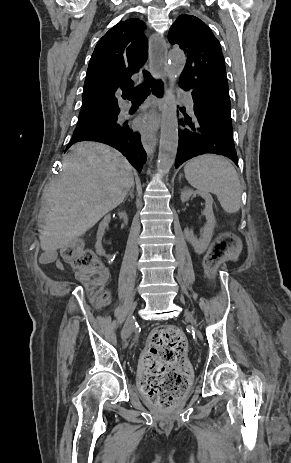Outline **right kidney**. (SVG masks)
Returning a JSON list of instances; mask_svg holds the SVG:
<instances>
[{"label": "right kidney", "mask_w": 291, "mask_h": 463, "mask_svg": "<svg viewBox=\"0 0 291 463\" xmlns=\"http://www.w3.org/2000/svg\"><path fill=\"white\" fill-rule=\"evenodd\" d=\"M119 216L123 218L125 224L128 223V217H127L126 212H119ZM110 220H111L110 215L105 216L103 218V220L100 222L99 227H98L97 242H96L95 248H96L97 254L100 255V256L105 254V251H104V249L102 247L101 240H102V237L104 235L106 227L110 223Z\"/></svg>", "instance_id": "obj_1"}]
</instances>
